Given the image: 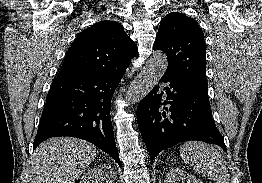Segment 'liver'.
I'll use <instances>...</instances> for the list:
<instances>
[{"label": "liver", "mask_w": 262, "mask_h": 183, "mask_svg": "<svg viewBox=\"0 0 262 183\" xmlns=\"http://www.w3.org/2000/svg\"><path fill=\"white\" fill-rule=\"evenodd\" d=\"M96 147L72 137L42 142L31 157L28 183H74L95 160Z\"/></svg>", "instance_id": "obj_1"}]
</instances>
